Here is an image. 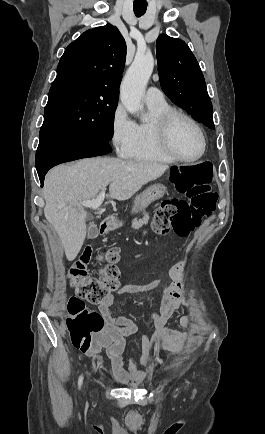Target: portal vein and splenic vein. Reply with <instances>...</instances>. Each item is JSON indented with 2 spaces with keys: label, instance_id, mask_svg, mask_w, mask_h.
I'll return each mask as SVG.
<instances>
[{
  "label": "portal vein and splenic vein",
  "instance_id": "1",
  "mask_svg": "<svg viewBox=\"0 0 265 434\" xmlns=\"http://www.w3.org/2000/svg\"><path fill=\"white\" fill-rule=\"evenodd\" d=\"M105 190L106 188H103L102 192L98 194L95 200H83V202H80V204H82V206H85V208H92V210H98L99 206H101L102 202H104ZM63 206H66V204H63Z\"/></svg>",
  "mask_w": 265,
  "mask_h": 434
}]
</instances>
